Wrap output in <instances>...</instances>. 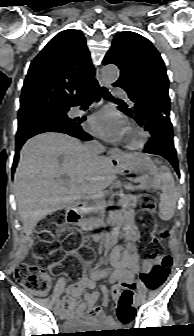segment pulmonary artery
<instances>
[{
	"mask_svg": "<svg viewBox=\"0 0 194 336\" xmlns=\"http://www.w3.org/2000/svg\"><path fill=\"white\" fill-rule=\"evenodd\" d=\"M113 95H114L115 97H120V98L128 99L127 96H126V94H125V92H124L123 89H121V88H116V89L114 90V92H113ZM80 112H81V110H77V113H80Z\"/></svg>",
	"mask_w": 194,
	"mask_h": 336,
	"instance_id": "e3ab8cb5",
	"label": "pulmonary artery"
}]
</instances>
